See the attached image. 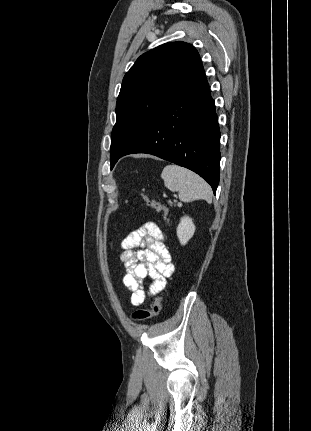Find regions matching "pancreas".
Wrapping results in <instances>:
<instances>
[{
	"label": "pancreas",
	"mask_w": 311,
	"mask_h": 431,
	"mask_svg": "<svg viewBox=\"0 0 311 431\" xmlns=\"http://www.w3.org/2000/svg\"><path fill=\"white\" fill-rule=\"evenodd\" d=\"M173 202H177V200H173ZM173 202H171V200H169L168 204H170V206H176V204H173Z\"/></svg>",
	"instance_id": "obj_1"
}]
</instances>
